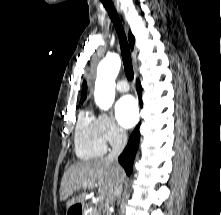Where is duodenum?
<instances>
[{"mask_svg": "<svg viewBox=\"0 0 221 215\" xmlns=\"http://www.w3.org/2000/svg\"><path fill=\"white\" fill-rule=\"evenodd\" d=\"M83 214V206L77 204L73 207L72 215H82Z\"/></svg>", "mask_w": 221, "mask_h": 215, "instance_id": "1", "label": "duodenum"}]
</instances>
